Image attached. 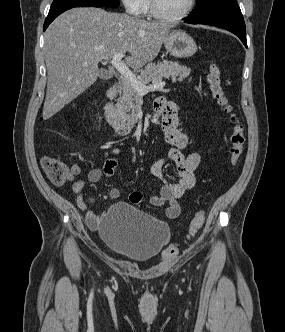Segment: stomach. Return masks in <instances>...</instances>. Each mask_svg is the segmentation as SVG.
I'll return each instance as SVG.
<instances>
[{
	"label": "stomach",
	"instance_id": "obj_1",
	"mask_svg": "<svg viewBox=\"0 0 285 332\" xmlns=\"http://www.w3.org/2000/svg\"><path fill=\"white\" fill-rule=\"evenodd\" d=\"M164 46L176 58L191 57L197 51L194 39L180 30L170 32L164 41Z\"/></svg>",
	"mask_w": 285,
	"mask_h": 332
}]
</instances>
